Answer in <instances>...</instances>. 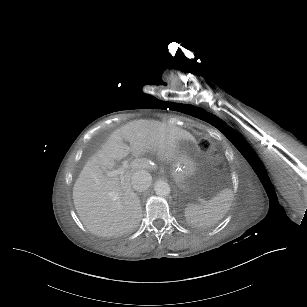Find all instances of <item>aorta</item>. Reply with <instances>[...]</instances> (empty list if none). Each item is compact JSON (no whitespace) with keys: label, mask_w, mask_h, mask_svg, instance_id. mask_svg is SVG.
<instances>
[{"label":"aorta","mask_w":307,"mask_h":307,"mask_svg":"<svg viewBox=\"0 0 307 307\" xmlns=\"http://www.w3.org/2000/svg\"><path fill=\"white\" fill-rule=\"evenodd\" d=\"M156 195L160 197H168L171 194V187L165 181H157L154 186Z\"/></svg>","instance_id":"aorta-1"}]
</instances>
